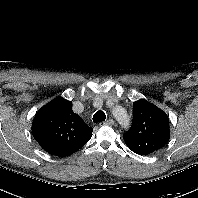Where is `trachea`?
Returning a JSON list of instances; mask_svg holds the SVG:
<instances>
[{"mask_svg":"<svg viewBox=\"0 0 198 198\" xmlns=\"http://www.w3.org/2000/svg\"><path fill=\"white\" fill-rule=\"evenodd\" d=\"M106 115L103 111L99 110L93 115V122H102L105 121Z\"/></svg>","mask_w":198,"mask_h":198,"instance_id":"1","label":"trachea"}]
</instances>
